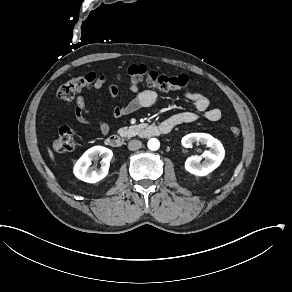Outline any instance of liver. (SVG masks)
Listing matches in <instances>:
<instances>
[{
    "instance_id": "liver-1",
    "label": "liver",
    "mask_w": 292,
    "mask_h": 292,
    "mask_svg": "<svg viewBox=\"0 0 292 292\" xmlns=\"http://www.w3.org/2000/svg\"><path fill=\"white\" fill-rule=\"evenodd\" d=\"M48 153H49L50 158L54 161V154L50 148H48Z\"/></svg>"
}]
</instances>
